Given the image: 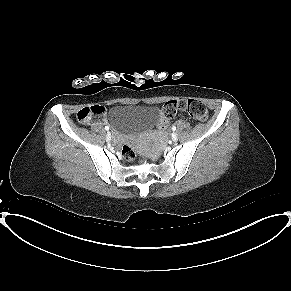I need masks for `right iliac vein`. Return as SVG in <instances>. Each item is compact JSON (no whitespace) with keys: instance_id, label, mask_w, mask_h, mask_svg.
Returning a JSON list of instances; mask_svg holds the SVG:
<instances>
[{"instance_id":"right-iliac-vein-1","label":"right iliac vein","mask_w":291,"mask_h":291,"mask_svg":"<svg viewBox=\"0 0 291 291\" xmlns=\"http://www.w3.org/2000/svg\"><path fill=\"white\" fill-rule=\"evenodd\" d=\"M111 140V134L110 133H107L106 135V141H110Z\"/></svg>"}]
</instances>
